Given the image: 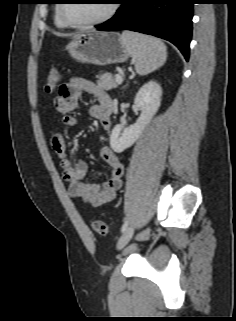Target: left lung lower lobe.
I'll use <instances>...</instances> for the list:
<instances>
[{"label":"left lung lower lobe","instance_id":"left-lung-lower-lobe-1","mask_svg":"<svg viewBox=\"0 0 236 321\" xmlns=\"http://www.w3.org/2000/svg\"><path fill=\"white\" fill-rule=\"evenodd\" d=\"M122 6L98 30H131L173 43L189 59L194 0H118Z\"/></svg>","mask_w":236,"mask_h":321}]
</instances>
